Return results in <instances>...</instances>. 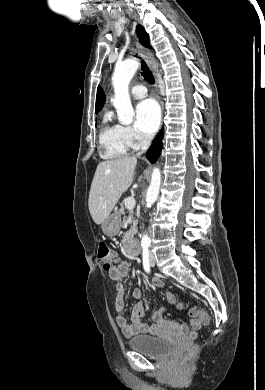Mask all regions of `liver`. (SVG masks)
<instances>
[{
    "instance_id": "6515ba94",
    "label": "liver",
    "mask_w": 265,
    "mask_h": 390,
    "mask_svg": "<svg viewBox=\"0 0 265 390\" xmlns=\"http://www.w3.org/2000/svg\"><path fill=\"white\" fill-rule=\"evenodd\" d=\"M136 164L135 156H125L98 164L88 200L89 211L96 224H102L121 195L130 187Z\"/></svg>"
}]
</instances>
